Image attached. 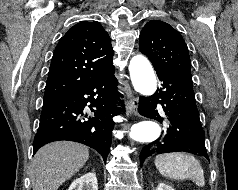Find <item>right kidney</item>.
Wrapping results in <instances>:
<instances>
[{"instance_id": "obj_1", "label": "right kidney", "mask_w": 238, "mask_h": 190, "mask_svg": "<svg viewBox=\"0 0 238 190\" xmlns=\"http://www.w3.org/2000/svg\"><path fill=\"white\" fill-rule=\"evenodd\" d=\"M68 190H98L95 173L89 172L74 180Z\"/></svg>"}]
</instances>
